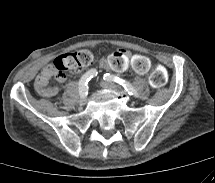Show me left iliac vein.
<instances>
[{"label":"left iliac vein","instance_id":"left-iliac-vein-1","mask_svg":"<svg viewBox=\"0 0 215 183\" xmlns=\"http://www.w3.org/2000/svg\"><path fill=\"white\" fill-rule=\"evenodd\" d=\"M100 86L105 89L120 91V88L117 85H115L114 83L107 82V81H101Z\"/></svg>","mask_w":215,"mask_h":183}]
</instances>
